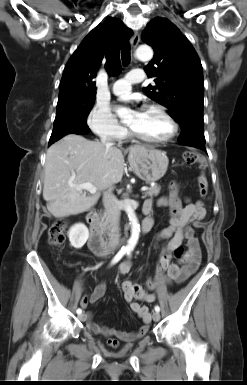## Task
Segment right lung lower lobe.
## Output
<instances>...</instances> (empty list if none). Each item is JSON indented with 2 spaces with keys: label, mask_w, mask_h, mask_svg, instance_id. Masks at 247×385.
Listing matches in <instances>:
<instances>
[{
  "label": "right lung lower lobe",
  "mask_w": 247,
  "mask_h": 385,
  "mask_svg": "<svg viewBox=\"0 0 247 385\" xmlns=\"http://www.w3.org/2000/svg\"><path fill=\"white\" fill-rule=\"evenodd\" d=\"M89 131H90L89 128L85 126H72L56 132H52V135L49 140V145L59 140L66 134L74 133L78 135H83V134H87Z\"/></svg>",
  "instance_id": "1"
}]
</instances>
